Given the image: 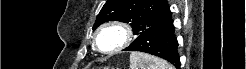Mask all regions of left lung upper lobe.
<instances>
[{
    "label": "left lung upper lobe",
    "instance_id": "left-lung-upper-lobe-1",
    "mask_svg": "<svg viewBox=\"0 0 246 69\" xmlns=\"http://www.w3.org/2000/svg\"><path fill=\"white\" fill-rule=\"evenodd\" d=\"M172 17L166 0H108L97 16L93 29L107 21H121L132 26L135 35L168 21Z\"/></svg>",
    "mask_w": 246,
    "mask_h": 69
}]
</instances>
